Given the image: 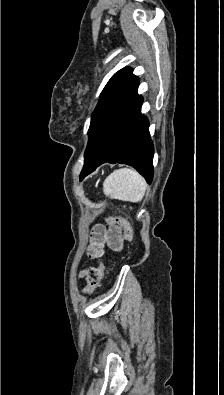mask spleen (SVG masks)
I'll return each mask as SVG.
<instances>
[{
  "mask_svg": "<svg viewBox=\"0 0 224 395\" xmlns=\"http://www.w3.org/2000/svg\"><path fill=\"white\" fill-rule=\"evenodd\" d=\"M145 179L132 168L113 171L103 183V192L112 199L139 202L146 191Z\"/></svg>",
  "mask_w": 224,
  "mask_h": 395,
  "instance_id": "3e777b00",
  "label": "spleen"
}]
</instances>
